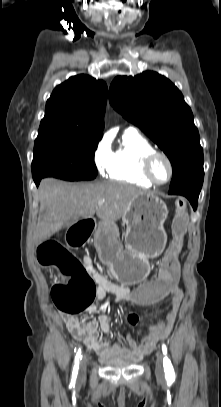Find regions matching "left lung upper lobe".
<instances>
[{"label": "left lung upper lobe", "instance_id": "5c2ea615", "mask_svg": "<svg viewBox=\"0 0 221 407\" xmlns=\"http://www.w3.org/2000/svg\"><path fill=\"white\" fill-rule=\"evenodd\" d=\"M109 99L168 156L173 168L170 187L203 170V149L192 111L170 80L153 71L118 76L110 86Z\"/></svg>", "mask_w": 221, "mask_h": 407}]
</instances>
